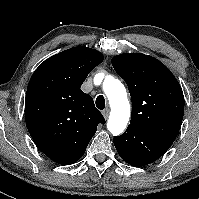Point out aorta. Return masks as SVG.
<instances>
[{"label": "aorta", "mask_w": 199, "mask_h": 199, "mask_svg": "<svg viewBox=\"0 0 199 199\" xmlns=\"http://www.w3.org/2000/svg\"><path fill=\"white\" fill-rule=\"evenodd\" d=\"M103 90L111 107L107 128L113 136H118L125 130L130 117L126 89L119 80L111 75H105Z\"/></svg>", "instance_id": "762f6f07"}]
</instances>
